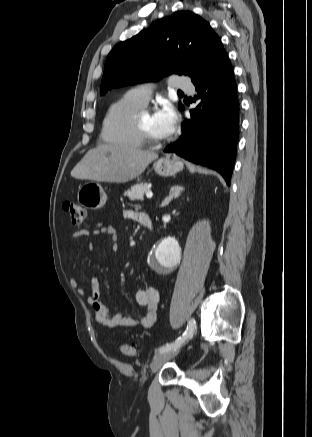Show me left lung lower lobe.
I'll use <instances>...</instances> for the list:
<instances>
[{
  "label": "left lung lower lobe",
  "mask_w": 312,
  "mask_h": 437,
  "mask_svg": "<svg viewBox=\"0 0 312 437\" xmlns=\"http://www.w3.org/2000/svg\"><path fill=\"white\" fill-rule=\"evenodd\" d=\"M194 85L198 97L204 95L203 104L190 110L191 118L184 121L181 137L164 151L217 170L230 185L238 143L239 102L225 50Z\"/></svg>",
  "instance_id": "left-lung-lower-lobe-1"
}]
</instances>
